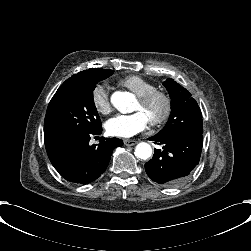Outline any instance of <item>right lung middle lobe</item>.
Listing matches in <instances>:
<instances>
[{
	"label": "right lung middle lobe",
	"instance_id": "obj_1",
	"mask_svg": "<svg viewBox=\"0 0 251 251\" xmlns=\"http://www.w3.org/2000/svg\"><path fill=\"white\" fill-rule=\"evenodd\" d=\"M113 70L91 68L67 79L52 97L44 121V142L70 134L100 130L101 121L93 101L96 84Z\"/></svg>",
	"mask_w": 251,
	"mask_h": 251
}]
</instances>
